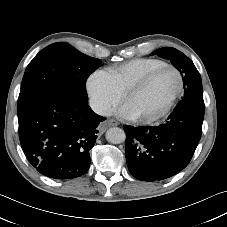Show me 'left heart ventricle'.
<instances>
[{"label":"left heart ventricle","mask_w":227,"mask_h":227,"mask_svg":"<svg viewBox=\"0 0 227 227\" xmlns=\"http://www.w3.org/2000/svg\"><path fill=\"white\" fill-rule=\"evenodd\" d=\"M178 76L173 70L158 74L142 91L129 98L125 104L135 116H152L159 113L178 88Z\"/></svg>","instance_id":"b2bd125f"}]
</instances>
